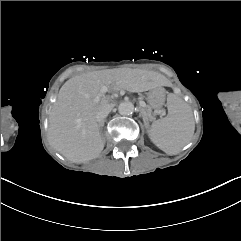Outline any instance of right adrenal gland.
<instances>
[{"label": "right adrenal gland", "instance_id": "2a0ac1e0", "mask_svg": "<svg viewBox=\"0 0 241 241\" xmlns=\"http://www.w3.org/2000/svg\"><path fill=\"white\" fill-rule=\"evenodd\" d=\"M103 127V125H101ZM101 132H102V128H100Z\"/></svg>", "mask_w": 241, "mask_h": 241}]
</instances>
